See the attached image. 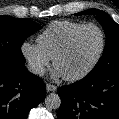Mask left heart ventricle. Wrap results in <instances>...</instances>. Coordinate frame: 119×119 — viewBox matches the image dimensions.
I'll return each instance as SVG.
<instances>
[{
    "label": "left heart ventricle",
    "instance_id": "obj_1",
    "mask_svg": "<svg viewBox=\"0 0 119 119\" xmlns=\"http://www.w3.org/2000/svg\"><path fill=\"white\" fill-rule=\"evenodd\" d=\"M101 45L100 33L89 28L81 32L69 51L62 56L56 68L63 76L76 75L85 70L96 57Z\"/></svg>",
    "mask_w": 119,
    "mask_h": 119
}]
</instances>
